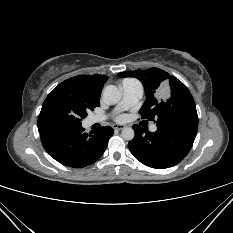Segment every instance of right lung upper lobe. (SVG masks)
I'll list each match as a JSON object with an SVG mask.
<instances>
[{"instance_id":"1","label":"right lung upper lobe","mask_w":233,"mask_h":233,"mask_svg":"<svg viewBox=\"0 0 233 233\" xmlns=\"http://www.w3.org/2000/svg\"><path fill=\"white\" fill-rule=\"evenodd\" d=\"M105 75H81L70 79L68 82L82 89L88 94L100 96L104 83L107 81Z\"/></svg>"}]
</instances>
